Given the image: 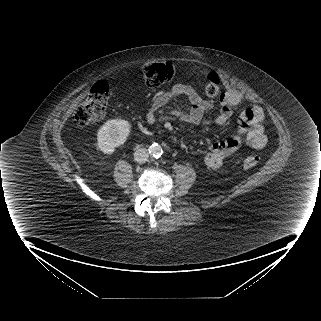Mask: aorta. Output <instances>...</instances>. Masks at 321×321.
I'll use <instances>...</instances> for the list:
<instances>
[{"label": "aorta", "instance_id": "1", "mask_svg": "<svg viewBox=\"0 0 321 321\" xmlns=\"http://www.w3.org/2000/svg\"><path fill=\"white\" fill-rule=\"evenodd\" d=\"M149 153L154 157H160L162 155V153H163V149L159 144L153 143L149 147Z\"/></svg>", "mask_w": 321, "mask_h": 321}]
</instances>
